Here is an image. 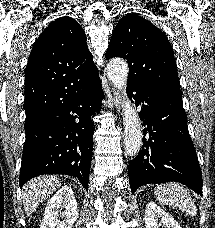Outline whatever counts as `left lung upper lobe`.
Listing matches in <instances>:
<instances>
[{
	"label": "left lung upper lobe",
	"mask_w": 215,
	"mask_h": 228,
	"mask_svg": "<svg viewBox=\"0 0 215 228\" xmlns=\"http://www.w3.org/2000/svg\"><path fill=\"white\" fill-rule=\"evenodd\" d=\"M122 57L129 66L128 84L149 90L181 92L172 47L164 33L137 14L116 25L106 59Z\"/></svg>",
	"instance_id": "obj_1"
}]
</instances>
